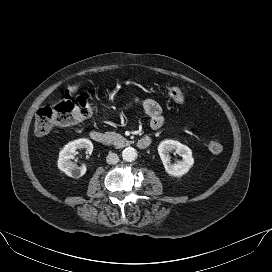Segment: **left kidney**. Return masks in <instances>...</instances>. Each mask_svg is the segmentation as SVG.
Returning a JSON list of instances; mask_svg holds the SVG:
<instances>
[{
    "label": "left kidney",
    "instance_id": "1",
    "mask_svg": "<svg viewBox=\"0 0 272 272\" xmlns=\"http://www.w3.org/2000/svg\"><path fill=\"white\" fill-rule=\"evenodd\" d=\"M173 150H175L177 154L182 156V161H178L174 164L170 163L169 152ZM158 153L163 162L166 172L174 177L183 176L194 164L191 149L176 140L162 141L158 146Z\"/></svg>",
    "mask_w": 272,
    "mask_h": 272
}]
</instances>
